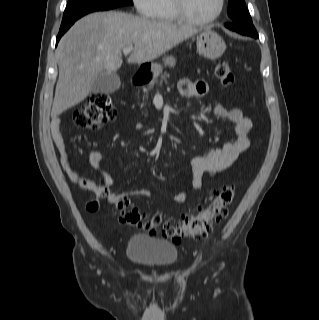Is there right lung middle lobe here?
Wrapping results in <instances>:
<instances>
[{
    "label": "right lung middle lobe",
    "mask_w": 319,
    "mask_h": 320,
    "mask_svg": "<svg viewBox=\"0 0 319 320\" xmlns=\"http://www.w3.org/2000/svg\"><path fill=\"white\" fill-rule=\"evenodd\" d=\"M132 4V0H68L60 28L72 25L88 13Z\"/></svg>",
    "instance_id": "right-lung-middle-lobe-1"
}]
</instances>
